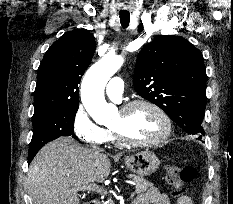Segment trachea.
Segmentation results:
<instances>
[{
	"mask_svg": "<svg viewBox=\"0 0 233 204\" xmlns=\"http://www.w3.org/2000/svg\"><path fill=\"white\" fill-rule=\"evenodd\" d=\"M120 23L123 28H127L130 22V13L129 12H120Z\"/></svg>",
	"mask_w": 233,
	"mask_h": 204,
	"instance_id": "obj_1",
	"label": "trachea"
}]
</instances>
